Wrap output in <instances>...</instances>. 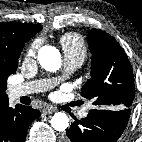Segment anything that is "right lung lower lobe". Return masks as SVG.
Masks as SVG:
<instances>
[{"instance_id":"98d812e1","label":"right lung lower lobe","mask_w":142,"mask_h":142,"mask_svg":"<svg viewBox=\"0 0 142 142\" xmlns=\"http://www.w3.org/2000/svg\"><path fill=\"white\" fill-rule=\"evenodd\" d=\"M40 116V111L30 106L9 102L0 105V142H25L30 123Z\"/></svg>"}]
</instances>
